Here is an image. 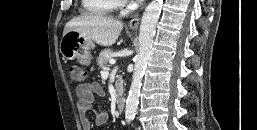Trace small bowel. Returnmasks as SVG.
<instances>
[{"instance_id": "c3829d8e", "label": "small bowel", "mask_w": 257, "mask_h": 130, "mask_svg": "<svg viewBox=\"0 0 257 130\" xmlns=\"http://www.w3.org/2000/svg\"><path fill=\"white\" fill-rule=\"evenodd\" d=\"M95 96H104V90L98 83H83L77 87V109L83 130H91V121L87 117V113L90 111L93 112L97 125H103L109 119L107 110L93 108Z\"/></svg>"}]
</instances>
